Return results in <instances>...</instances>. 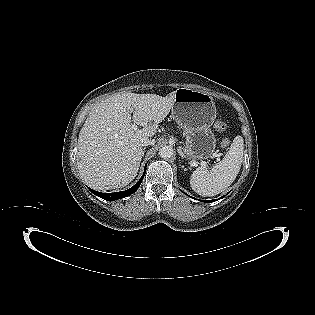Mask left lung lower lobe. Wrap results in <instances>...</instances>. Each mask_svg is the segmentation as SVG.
<instances>
[{
    "label": "left lung lower lobe",
    "instance_id": "obj_1",
    "mask_svg": "<svg viewBox=\"0 0 315 315\" xmlns=\"http://www.w3.org/2000/svg\"><path fill=\"white\" fill-rule=\"evenodd\" d=\"M224 197V196H223ZM223 197H221V198H223ZM215 200H207V201H204V202H206V203H210V202H214Z\"/></svg>",
    "mask_w": 315,
    "mask_h": 315
}]
</instances>
